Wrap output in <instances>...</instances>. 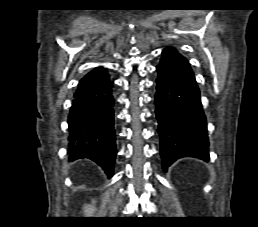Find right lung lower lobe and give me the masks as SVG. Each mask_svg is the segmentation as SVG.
Instances as JSON below:
<instances>
[{"label": "right lung lower lobe", "instance_id": "obj_1", "mask_svg": "<svg viewBox=\"0 0 258 227\" xmlns=\"http://www.w3.org/2000/svg\"><path fill=\"white\" fill-rule=\"evenodd\" d=\"M114 96L107 70L97 67L79 82L68 116L70 160L88 158L112 175L117 154Z\"/></svg>", "mask_w": 258, "mask_h": 227}]
</instances>
